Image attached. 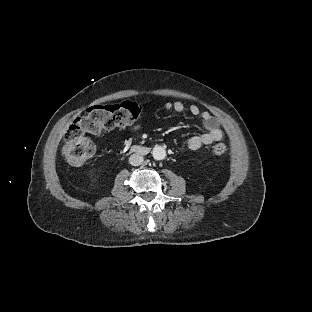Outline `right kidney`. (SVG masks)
<instances>
[{"mask_svg":"<svg viewBox=\"0 0 312 312\" xmlns=\"http://www.w3.org/2000/svg\"><path fill=\"white\" fill-rule=\"evenodd\" d=\"M97 180H98V177H97V176L92 177V178L90 179L91 184H94Z\"/></svg>","mask_w":312,"mask_h":312,"instance_id":"right-kidney-1","label":"right kidney"}]
</instances>
